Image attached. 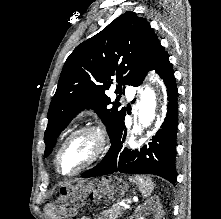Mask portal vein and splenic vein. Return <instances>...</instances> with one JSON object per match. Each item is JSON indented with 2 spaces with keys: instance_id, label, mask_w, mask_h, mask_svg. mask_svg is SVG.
Masks as SVG:
<instances>
[{
  "instance_id": "obj_1",
  "label": "portal vein and splenic vein",
  "mask_w": 221,
  "mask_h": 219,
  "mask_svg": "<svg viewBox=\"0 0 221 219\" xmlns=\"http://www.w3.org/2000/svg\"><path fill=\"white\" fill-rule=\"evenodd\" d=\"M119 205L123 207H127V205L124 202L119 203Z\"/></svg>"
}]
</instances>
